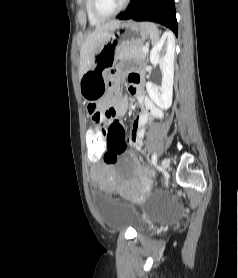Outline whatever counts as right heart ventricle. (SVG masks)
I'll use <instances>...</instances> for the list:
<instances>
[{
	"label": "right heart ventricle",
	"instance_id": "e07e8e85",
	"mask_svg": "<svg viewBox=\"0 0 238 278\" xmlns=\"http://www.w3.org/2000/svg\"><path fill=\"white\" fill-rule=\"evenodd\" d=\"M85 9H86V14L87 18L90 24L92 25H97L101 23L102 20L96 18L91 11V0H85Z\"/></svg>",
	"mask_w": 238,
	"mask_h": 278
}]
</instances>
